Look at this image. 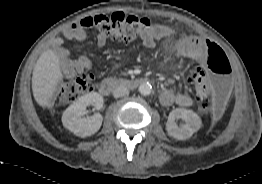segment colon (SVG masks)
I'll list each match as a JSON object with an SVG mask.
<instances>
[{"instance_id":"1","label":"colon","mask_w":262,"mask_h":184,"mask_svg":"<svg viewBox=\"0 0 262 184\" xmlns=\"http://www.w3.org/2000/svg\"><path fill=\"white\" fill-rule=\"evenodd\" d=\"M79 25L82 28L95 27L106 38L124 42L133 41L151 29L149 19L122 12L85 17ZM206 45V70H193L190 82L201 107H211L214 117L220 118L229 101L232 70L230 61L220 46L212 42H207ZM206 71L211 73L210 78L206 77ZM93 89L91 77L79 75L61 87L58 98L61 103H71Z\"/></svg>"}]
</instances>
